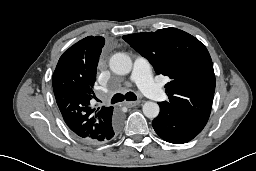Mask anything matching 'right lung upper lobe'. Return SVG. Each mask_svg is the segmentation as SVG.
Instances as JSON below:
<instances>
[{"label": "right lung upper lobe", "instance_id": "obj_1", "mask_svg": "<svg viewBox=\"0 0 256 171\" xmlns=\"http://www.w3.org/2000/svg\"><path fill=\"white\" fill-rule=\"evenodd\" d=\"M105 40L88 36L60 57L52 84L57 105L67 126L82 140H97L114 116L113 107H93V86Z\"/></svg>", "mask_w": 256, "mask_h": 171}]
</instances>
